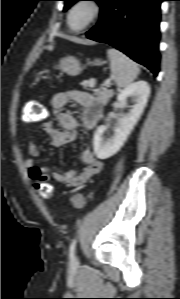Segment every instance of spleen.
I'll return each instance as SVG.
<instances>
[{
	"mask_svg": "<svg viewBox=\"0 0 180 299\" xmlns=\"http://www.w3.org/2000/svg\"><path fill=\"white\" fill-rule=\"evenodd\" d=\"M112 78L119 88L128 87L138 76L137 63L117 49L107 50Z\"/></svg>",
	"mask_w": 180,
	"mask_h": 299,
	"instance_id": "3e777b00",
	"label": "spleen"
}]
</instances>
